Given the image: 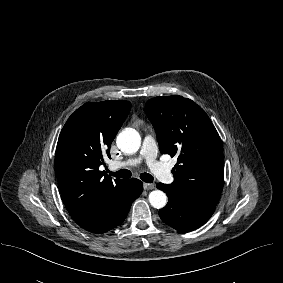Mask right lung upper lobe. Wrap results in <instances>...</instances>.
I'll list each match as a JSON object with an SVG mask.
<instances>
[{
  "instance_id": "1",
  "label": "right lung upper lobe",
  "mask_w": 283,
  "mask_h": 283,
  "mask_svg": "<svg viewBox=\"0 0 283 283\" xmlns=\"http://www.w3.org/2000/svg\"><path fill=\"white\" fill-rule=\"evenodd\" d=\"M131 109L129 101L86 103L65 123L55 160L62 200L75 222L83 226L110 206L127 180H112L99 166Z\"/></svg>"
}]
</instances>
